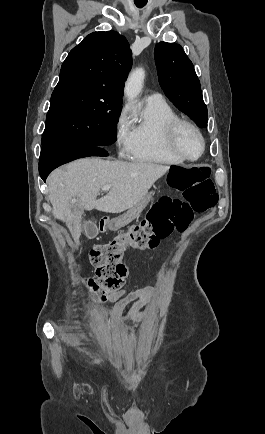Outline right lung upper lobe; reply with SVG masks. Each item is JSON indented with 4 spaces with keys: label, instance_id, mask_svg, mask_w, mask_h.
I'll use <instances>...</instances> for the list:
<instances>
[{
    "label": "right lung upper lobe",
    "instance_id": "obj_1",
    "mask_svg": "<svg viewBox=\"0 0 265 434\" xmlns=\"http://www.w3.org/2000/svg\"><path fill=\"white\" fill-rule=\"evenodd\" d=\"M131 66L130 45L124 36L115 31L93 32L70 51L58 83L84 81L123 96Z\"/></svg>",
    "mask_w": 265,
    "mask_h": 434
}]
</instances>
